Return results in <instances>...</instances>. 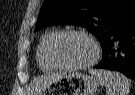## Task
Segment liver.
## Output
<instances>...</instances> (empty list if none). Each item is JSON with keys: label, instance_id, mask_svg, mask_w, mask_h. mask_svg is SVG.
Returning <instances> with one entry per match:
<instances>
[{"label": "liver", "instance_id": "obj_1", "mask_svg": "<svg viewBox=\"0 0 135 95\" xmlns=\"http://www.w3.org/2000/svg\"><path fill=\"white\" fill-rule=\"evenodd\" d=\"M63 74H46L41 78H38L31 86V95H38L44 90L51 82L56 79H59Z\"/></svg>", "mask_w": 135, "mask_h": 95}]
</instances>
